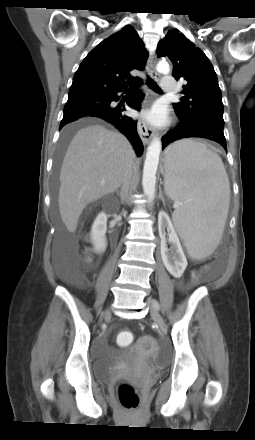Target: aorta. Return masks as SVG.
<instances>
[{
	"instance_id": "obj_1",
	"label": "aorta",
	"mask_w": 255,
	"mask_h": 440,
	"mask_svg": "<svg viewBox=\"0 0 255 440\" xmlns=\"http://www.w3.org/2000/svg\"><path fill=\"white\" fill-rule=\"evenodd\" d=\"M156 69L160 73H168L170 66L166 61H160L157 64ZM161 147V140L158 137H155L148 146L144 162L142 185L144 194L147 196L150 204L155 198L156 171L159 164Z\"/></svg>"
}]
</instances>
